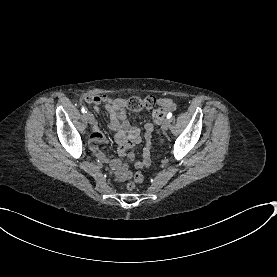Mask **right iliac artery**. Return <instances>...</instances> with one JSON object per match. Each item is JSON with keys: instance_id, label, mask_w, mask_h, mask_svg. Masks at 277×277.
<instances>
[{"instance_id": "right-iliac-artery-1", "label": "right iliac artery", "mask_w": 277, "mask_h": 277, "mask_svg": "<svg viewBox=\"0 0 277 277\" xmlns=\"http://www.w3.org/2000/svg\"><path fill=\"white\" fill-rule=\"evenodd\" d=\"M81 111H82L83 113H87V109L84 108V107L81 109Z\"/></svg>"}]
</instances>
